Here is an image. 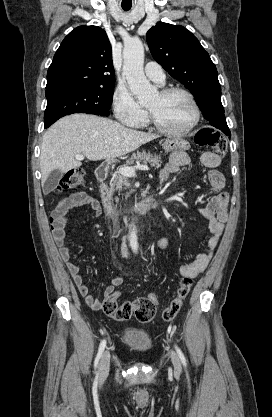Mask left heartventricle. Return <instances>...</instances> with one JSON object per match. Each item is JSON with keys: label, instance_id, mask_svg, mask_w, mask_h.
Wrapping results in <instances>:
<instances>
[{"label": "left heart ventricle", "instance_id": "left-heart-ventricle-1", "mask_svg": "<svg viewBox=\"0 0 272 417\" xmlns=\"http://www.w3.org/2000/svg\"><path fill=\"white\" fill-rule=\"evenodd\" d=\"M148 109L166 128L181 130L188 127L194 118V110L189 99L182 94L168 97L156 96Z\"/></svg>", "mask_w": 272, "mask_h": 417}]
</instances>
